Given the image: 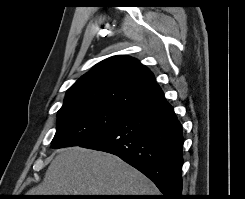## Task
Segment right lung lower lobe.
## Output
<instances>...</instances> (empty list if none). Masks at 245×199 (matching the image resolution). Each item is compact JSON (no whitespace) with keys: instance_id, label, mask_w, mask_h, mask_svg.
Here are the masks:
<instances>
[{"instance_id":"right-lung-lower-lobe-1","label":"right lung lower lobe","mask_w":245,"mask_h":199,"mask_svg":"<svg viewBox=\"0 0 245 199\" xmlns=\"http://www.w3.org/2000/svg\"><path fill=\"white\" fill-rule=\"evenodd\" d=\"M80 146L117 155L151 179L161 199H182V126L166 100L128 114Z\"/></svg>"}]
</instances>
